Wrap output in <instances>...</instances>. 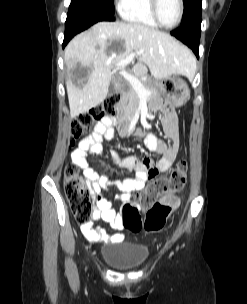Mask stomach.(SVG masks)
<instances>
[{
    "label": "stomach",
    "mask_w": 247,
    "mask_h": 304,
    "mask_svg": "<svg viewBox=\"0 0 247 304\" xmlns=\"http://www.w3.org/2000/svg\"><path fill=\"white\" fill-rule=\"evenodd\" d=\"M163 95L175 107L184 105L190 96L187 83L179 76H175L168 84L160 85Z\"/></svg>",
    "instance_id": "0dacf381"
}]
</instances>
